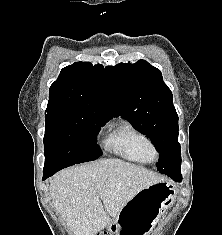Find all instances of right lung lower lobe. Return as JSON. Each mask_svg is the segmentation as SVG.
Masks as SVG:
<instances>
[{
    "mask_svg": "<svg viewBox=\"0 0 222 235\" xmlns=\"http://www.w3.org/2000/svg\"><path fill=\"white\" fill-rule=\"evenodd\" d=\"M55 173H56L55 171L43 173V180L47 179L48 177L52 176Z\"/></svg>",
    "mask_w": 222,
    "mask_h": 235,
    "instance_id": "1",
    "label": "right lung lower lobe"
}]
</instances>
